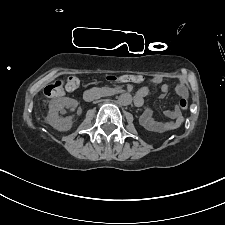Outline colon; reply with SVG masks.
Returning <instances> with one entry per match:
<instances>
[{"instance_id":"obj_1","label":"colon","mask_w":225,"mask_h":225,"mask_svg":"<svg viewBox=\"0 0 225 225\" xmlns=\"http://www.w3.org/2000/svg\"><path fill=\"white\" fill-rule=\"evenodd\" d=\"M107 80L110 82H132V83H142L144 81V77L141 75H133V74H125L121 76H108ZM81 86V82L77 77H69L67 80H57L49 85H47L44 89V93L49 97H56L62 95L64 90L67 91H75ZM178 108L181 110H185L188 108V101L184 98L178 101Z\"/></svg>"}]
</instances>
